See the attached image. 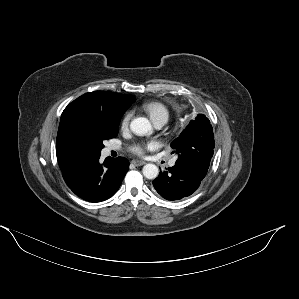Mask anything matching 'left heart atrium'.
Returning <instances> with one entry per match:
<instances>
[{
  "instance_id": "1",
  "label": "left heart atrium",
  "mask_w": 299,
  "mask_h": 299,
  "mask_svg": "<svg viewBox=\"0 0 299 299\" xmlns=\"http://www.w3.org/2000/svg\"><path fill=\"white\" fill-rule=\"evenodd\" d=\"M133 152L136 154H142L144 152V147L141 145H137L133 148Z\"/></svg>"
}]
</instances>
